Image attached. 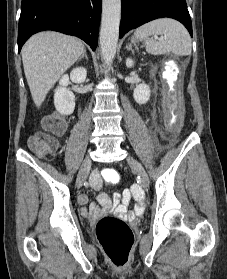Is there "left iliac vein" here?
<instances>
[{
  "label": "left iliac vein",
  "mask_w": 227,
  "mask_h": 279,
  "mask_svg": "<svg viewBox=\"0 0 227 279\" xmlns=\"http://www.w3.org/2000/svg\"><path fill=\"white\" fill-rule=\"evenodd\" d=\"M127 162L130 165V167L140 177L143 187L148 188L150 180H149L148 174H147L146 170L144 169V167L142 166V164L131 156L127 157Z\"/></svg>",
  "instance_id": "left-iliac-vein-1"
}]
</instances>
